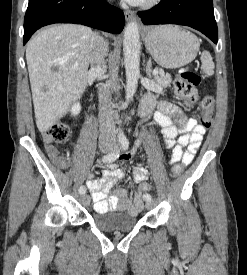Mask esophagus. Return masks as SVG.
I'll return each mask as SVG.
<instances>
[{
    "mask_svg": "<svg viewBox=\"0 0 247 275\" xmlns=\"http://www.w3.org/2000/svg\"><path fill=\"white\" fill-rule=\"evenodd\" d=\"M124 15H125V18H126L127 20H132V19L135 18V13H134L133 11H131V10L125 11V12H124Z\"/></svg>",
    "mask_w": 247,
    "mask_h": 275,
    "instance_id": "34e87169",
    "label": "esophagus"
}]
</instances>
